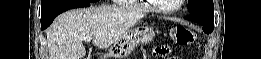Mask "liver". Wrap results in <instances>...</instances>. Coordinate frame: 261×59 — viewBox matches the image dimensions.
I'll list each match as a JSON object with an SVG mask.
<instances>
[{
	"label": "liver",
	"mask_w": 261,
	"mask_h": 59,
	"mask_svg": "<svg viewBox=\"0 0 261 59\" xmlns=\"http://www.w3.org/2000/svg\"><path fill=\"white\" fill-rule=\"evenodd\" d=\"M143 16L108 6L65 12L46 31L49 59H82L86 36H91L98 48H108Z\"/></svg>",
	"instance_id": "1"
}]
</instances>
